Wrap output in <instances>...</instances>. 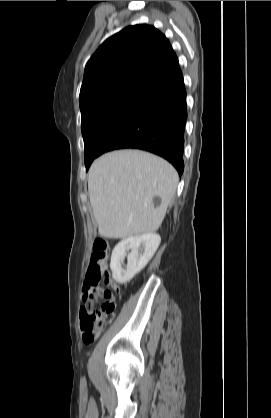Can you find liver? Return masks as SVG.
I'll return each mask as SVG.
<instances>
[{"label": "liver", "instance_id": "obj_1", "mask_svg": "<svg viewBox=\"0 0 271 418\" xmlns=\"http://www.w3.org/2000/svg\"><path fill=\"white\" fill-rule=\"evenodd\" d=\"M177 184L175 168L148 152L118 150L96 159L88 191L100 236L122 239L156 232ZM156 196L158 207L153 204Z\"/></svg>", "mask_w": 271, "mask_h": 418}]
</instances>
